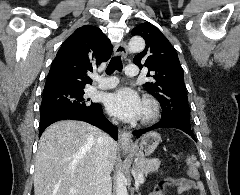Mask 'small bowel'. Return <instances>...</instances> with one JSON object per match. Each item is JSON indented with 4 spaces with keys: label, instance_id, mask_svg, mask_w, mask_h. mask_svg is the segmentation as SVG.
<instances>
[{
    "label": "small bowel",
    "instance_id": "obj_1",
    "mask_svg": "<svg viewBox=\"0 0 240 195\" xmlns=\"http://www.w3.org/2000/svg\"><path fill=\"white\" fill-rule=\"evenodd\" d=\"M175 188L179 195L197 191V195H206L204 186H196V182L189 178H168L160 182L151 195H171Z\"/></svg>",
    "mask_w": 240,
    "mask_h": 195
}]
</instances>
